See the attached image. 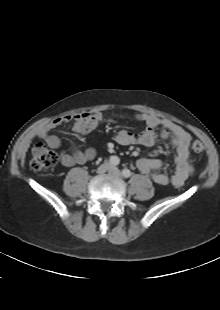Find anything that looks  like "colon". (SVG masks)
Returning a JSON list of instances; mask_svg holds the SVG:
<instances>
[{"instance_id": "obj_1", "label": "colon", "mask_w": 220, "mask_h": 310, "mask_svg": "<svg viewBox=\"0 0 220 310\" xmlns=\"http://www.w3.org/2000/svg\"><path fill=\"white\" fill-rule=\"evenodd\" d=\"M190 150L194 154H201L204 151L203 144L194 140L190 144ZM58 161L55 151L48 148L44 143L37 142L31 151L30 167L34 170H43L53 167Z\"/></svg>"}]
</instances>
